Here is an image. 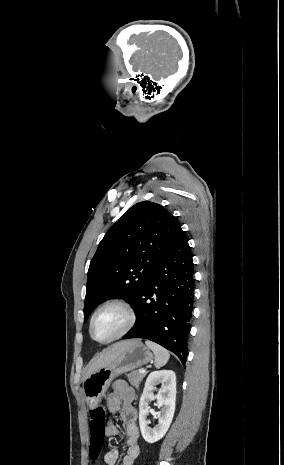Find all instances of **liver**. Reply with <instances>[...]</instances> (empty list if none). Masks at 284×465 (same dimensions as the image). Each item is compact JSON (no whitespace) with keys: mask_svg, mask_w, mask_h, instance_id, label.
I'll use <instances>...</instances> for the list:
<instances>
[{"mask_svg":"<svg viewBox=\"0 0 284 465\" xmlns=\"http://www.w3.org/2000/svg\"><path fill=\"white\" fill-rule=\"evenodd\" d=\"M127 343H130V341H120V343H115V345H112L106 353H101L100 357H96V359H92L91 365H88L84 377L87 379L91 373H94V371H97V369H101V367H106V365H109L111 361H114L116 357H118L119 353H123L127 347Z\"/></svg>","mask_w":284,"mask_h":465,"instance_id":"obj_1","label":"liver"}]
</instances>
